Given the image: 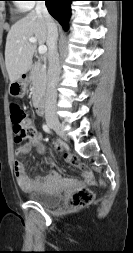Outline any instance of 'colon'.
<instances>
[{
    "instance_id": "5ec220e1",
    "label": "colon",
    "mask_w": 133,
    "mask_h": 253,
    "mask_svg": "<svg viewBox=\"0 0 133 253\" xmlns=\"http://www.w3.org/2000/svg\"><path fill=\"white\" fill-rule=\"evenodd\" d=\"M10 116L14 128V136L16 142H22L29 140L35 132L33 125L28 117L27 112L16 103H12L10 106ZM66 160L73 164L78 165V159L71 154H65ZM94 200V194L87 188L80 189L74 193L69 201V204L73 208H82L92 203Z\"/></svg>"
}]
</instances>
